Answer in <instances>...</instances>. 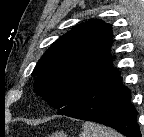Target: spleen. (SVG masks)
<instances>
[{"mask_svg": "<svg viewBox=\"0 0 144 137\" xmlns=\"http://www.w3.org/2000/svg\"><path fill=\"white\" fill-rule=\"evenodd\" d=\"M79 137H122V135L104 125L86 121L82 124V131Z\"/></svg>", "mask_w": 144, "mask_h": 137, "instance_id": "obj_1", "label": "spleen"}]
</instances>
